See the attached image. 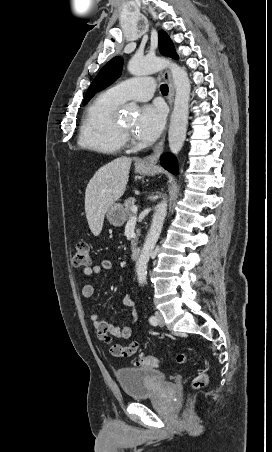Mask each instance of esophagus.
Listing matches in <instances>:
<instances>
[{
  "mask_svg": "<svg viewBox=\"0 0 272 452\" xmlns=\"http://www.w3.org/2000/svg\"><path fill=\"white\" fill-rule=\"evenodd\" d=\"M163 77L167 81L168 86H169L168 101H169L170 107H172L173 98H174V85H173V81H172V78H171L170 71L169 70H165L164 73H163ZM164 141H165V135L157 143V145L153 148V153L151 155L145 157L144 159L140 160L138 162V164L141 165V166H153V165H155L157 160H158V158H159V155L161 154V152L163 150Z\"/></svg>",
  "mask_w": 272,
  "mask_h": 452,
  "instance_id": "esophagus-1",
  "label": "esophagus"
}]
</instances>
